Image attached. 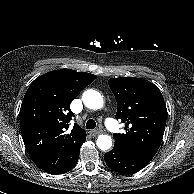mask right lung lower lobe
Wrapping results in <instances>:
<instances>
[{
    "label": "right lung lower lobe",
    "mask_w": 194,
    "mask_h": 194,
    "mask_svg": "<svg viewBox=\"0 0 194 194\" xmlns=\"http://www.w3.org/2000/svg\"><path fill=\"white\" fill-rule=\"evenodd\" d=\"M78 157H79V152L66 165L58 169L55 173H51V174L57 175V174H63L70 171L76 165Z\"/></svg>",
    "instance_id": "right-lung-lower-lobe-1"
}]
</instances>
